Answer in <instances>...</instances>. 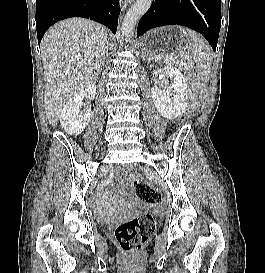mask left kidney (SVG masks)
<instances>
[{"label":"left kidney","instance_id":"1","mask_svg":"<svg viewBox=\"0 0 265 273\" xmlns=\"http://www.w3.org/2000/svg\"><path fill=\"white\" fill-rule=\"evenodd\" d=\"M154 65H150L152 68ZM166 76L172 82L167 89L154 85L151 89L152 99L158 112L168 120L181 116L187 107V83L183 74L173 66H165Z\"/></svg>","mask_w":265,"mask_h":273}]
</instances>
